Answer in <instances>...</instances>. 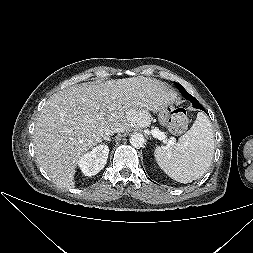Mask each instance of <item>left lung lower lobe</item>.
<instances>
[{
	"label": "left lung lower lobe",
	"instance_id": "left-lung-lower-lobe-1",
	"mask_svg": "<svg viewBox=\"0 0 253 253\" xmlns=\"http://www.w3.org/2000/svg\"><path fill=\"white\" fill-rule=\"evenodd\" d=\"M191 102L193 103V106H194L195 108L205 111V109H204V108L202 107V105L197 101L196 98L193 97V98L191 99Z\"/></svg>",
	"mask_w": 253,
	"mask_h": 253
}]
</instances>
